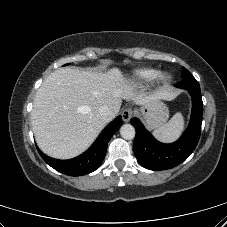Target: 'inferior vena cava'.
Wrapping results in <instances>:
<instances>
[{"label": "inferior vena cava", "instance_id": "inferior-vena-cava-1", "mask_svg": "<svg viewBox=\"0 0 227 227\" xmlns=\"http://www.w3.org/2000/svg\"><path fill=\"white\" fill-rule=\"evenodd\" d=\"M99 114L105 121H109L114 115L107 105H102L99 107Z\"/></svg>", "mask_w": 227, "mask_h": 227}]
</instances>
